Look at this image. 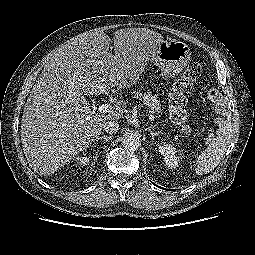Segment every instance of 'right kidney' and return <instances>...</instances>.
Returning <instances> with one entry per match:
<instances>
[{
	"label": "right kidney",
	"mask_w": 255,
	"mask_h": 255,
	"mask_svg": "<svg viewBox=\"0 0 255 255\" xmlns=\"http://www.w3.org/2000/svg\"><path fill=\"white\" fill-rule=\"evenodd\" d=\"M90 162V157L89 156H80L77 158V165L78 166H85L88 165Z\"/></svg>",
	"instance_id": "right-kidney-1"
}]
</instances>
